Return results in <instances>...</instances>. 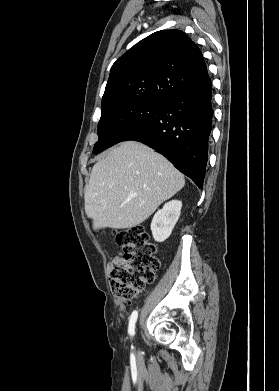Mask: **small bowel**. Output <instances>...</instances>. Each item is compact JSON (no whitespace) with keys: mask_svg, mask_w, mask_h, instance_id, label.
Returning a JSON list of instances; mask_svg holds the SVG:
<instances>
[{"mask_svg":"<svg viewBox=\"0 0 279 391\" xmlns=\"http://www.w3.org/2000/svg\"><path fill=\"white\" fill-rule=\"evenodd\" d=\"M119 260H120V256L115 257V258L113 259V261H112V267H114L115 265H117L118 262H119Z\"/></svg>","mask_w":279,"mask_h":391,"instance_id":"1","label":"small bowel"}]
</instances>
